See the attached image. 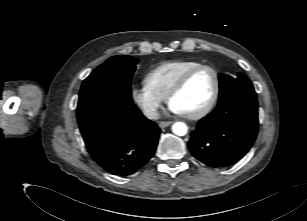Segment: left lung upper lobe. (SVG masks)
Here are the masks:
<instances>
[{
	"label": "left lung upper lobe",
	"instance_id": "obj_1",
	"mask_svg": "<svg viewBox=\"0 0 307 221\" xmlns=\"http://www.w3.org/2000/svg\"><path fill=\"white\" fill-rule=\"evenodd\" d=\"M219 83L220 92L218 104H222L231 98L243 94H255L251 81L242 73H238L237 78L219 74Z\"/></svg>",
	"mask_w": 307,
	"mask_h": 221
}]
</instances>
